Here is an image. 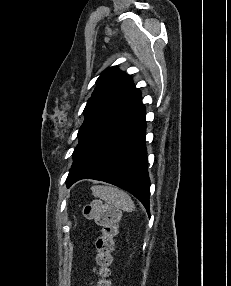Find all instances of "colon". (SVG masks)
Masks as SVG:
<instances>
[{"mask_svg": "<svg viewBox=\"0 0 231 286\" xmlns=\"http://www.w3.org/2000/svg\"><path fill=\"white\" fill-rule=\"evenodd\" d=\"M84 215L102 228L101 235L96 240V260L99 265L97 286H111L109 279L110 266L112 263L114 238L118 231L120 211L109 203L94 200L85 206Z\"/></svg>", "mask_w": 231, "mask_h": 286, "instance_id": "colon-1", "label": "colon"}]
</instances>
